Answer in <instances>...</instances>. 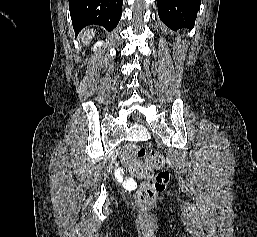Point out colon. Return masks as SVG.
Instances as JSON below:
<instances>
[{
	"label": "colon",
	"mask_w": 257,
	"mask_h": 237,
	"mask_svg": "<svg viewBox=\"0 0 257 237\" xmlns=\"http://www.w3.org/2000/svg\"><path fill=\"white\" fill-rule=\"evenodd\" d=\"M123 156L131 173L144 179L136 193V203L141 209L148 208L154 197L163 191L170 180L167 170L160 169L164 164L163 156L158 152H151L145 163L131 160V156L144 158L146 150L137 144H127L123 149ZM153 168L160 169L155 175Z\"/></svg>",
	"instance_id": "obj_1"
}]
</instances>
